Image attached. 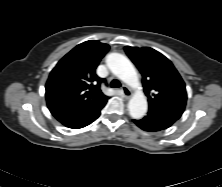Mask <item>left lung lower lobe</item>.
<instances>
[{
	"label": "left lung lower lobe",
	"mask_w": 222,
	"mask_h": 187,
	"mask_svg": "<svg viewBox=\"0 0 222 187\" xmlns=\"http://www.w3.org/2000/svg\"><path fill=\"white\" fill-rule=\"evenodd\" d=\"M183 112L184 108L177 106L149 107V111L143 119L133 120V122L145 131L156 132L170 127Z\"/></svg>",
	"instance_id": "1"
}]
</instances>
